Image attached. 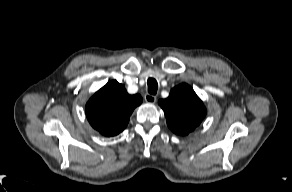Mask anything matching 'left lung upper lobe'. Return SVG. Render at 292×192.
<instances>
[{"label": "left lung upper lobe", "mask_w": 292, "mask_h": 192, "mask_svg": "<svg viewBox=\"0 0 292 192\" xmlns=\"http://www.w3.org/2000/svg\"><path fill=\"white\" fill-rule=\"evenodd\" d=\"M168 127L178 135L192 132L206 116V108L194 90L183 83L174 87L168 98L159 100Z\"/></svg>", "instance_id": "obj_1"}]
</instances>
